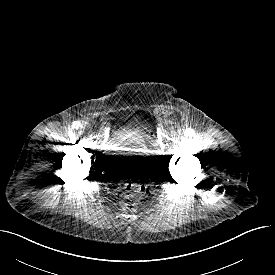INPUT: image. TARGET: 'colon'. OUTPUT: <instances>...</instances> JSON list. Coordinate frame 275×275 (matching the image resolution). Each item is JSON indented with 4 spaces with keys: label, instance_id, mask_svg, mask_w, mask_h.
Masks as SVG:
<instances>
[{
    "label": "colon",
    "instance_id": "colon-1",
    "mask_svg": "<svg viewBox=\"0 0 275 275\" xmlns=\"http://www.w3.org/2000/svg\"><path fill=\"white\" fill-rule=\"evenodd\" d=\"M146 193L145 186L136 179L126 181L122 186V208L125 211H133L136 202L141 199Z\"/></svg>",
    "mask_w": 275,
    "mask_h": 275
}]
</instances>
